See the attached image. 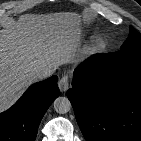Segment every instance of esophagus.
Wrapping results in <instances>:
<instances>
[{
	"label": "esophagus",
	"instance_id": "obj_1",
	"mask_svg": "<svg viewBox=\"0 0 141 141\" xmlns=\"http://www.w3.org/2000/svg\"><path fill=\"white\" fill-rule=\"evenodd\" d=\"M58 86L61 92H66L69 88V75H64L58 81Z\"/></svg>",
	"mask_w": 141,
	"mask_h": 141
}]
</instances>
